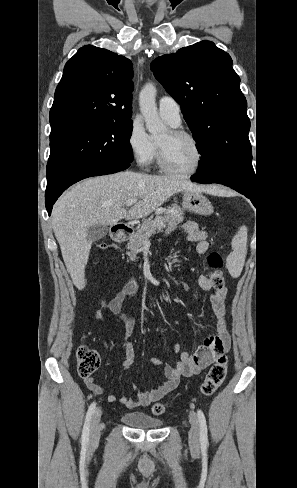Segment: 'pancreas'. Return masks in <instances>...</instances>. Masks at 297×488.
Listing matches in <instances>:
<instances>
[{
    "label": "pancreas",
    "instance_id": "pancreas-1",
    "mask_svg": "<svg viewBox=\"0 0 297 488\" xmlns=\"http://www.w3.org/2000/svg\"><path fill=\"white\" fill-rule=\"evenodd\" d=\"M184 220L183 210L173 205L167 210H159L156 212V217L143 220L141 226L130 237L128 243L129 252L127 253L131 261H135L136 254L140 251L145 240H147L156 231H160L166 225H177ZM161 221L162 224H157Z\"/></svg>",
    "mask_w": 297,
    "mask_h": 488
}]
</instances>
